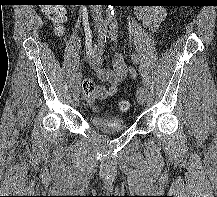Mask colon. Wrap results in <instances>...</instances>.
<instances>
[{"label":"colon","instance_id":"1","mask_svg":"<svg viewBox=\"0 0 217 197\" xmlns=\"http://www.w3.org/2000/svg\"><path fill=\"white\" fill-rule=\"evenodd\" d=\"M41 2L45 17L53 22L55 32L61 34L63 26L67 21L66 9L58 0H41ZM82 90L84 95L91 100H101L106 96V89L102 86L95 85L89 79L83 81ZM118 109L121 112H127L130 109V102L128 100H120L118 102Z\"/></svg>","mask_w":217,"mask_h":197}]
</instances>
